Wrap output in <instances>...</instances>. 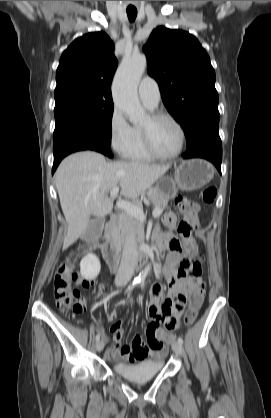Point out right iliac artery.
<instances>
[{"mask_svg":"<svg viewBox=\"0 0 271 418\" xmlns=\"http://www.w3.org/2000/svg\"><path fill=\"white\" fill-rule=\"evenodd\" d=\"M140 283V281L139 280H137V279H135L134 281H133V283L132 284H130L129 286H128V288H127V290L126 291H130V290H132L137 284H139ZM95 339H96V341H98L99 339H100V334L98 333L97 335H96V337H95Z\"/></svg>","mask_w":271,"mask_h":418,"instance_id":"right-iliac-artery-1","label":"right iliac artery"}]
</instances>
